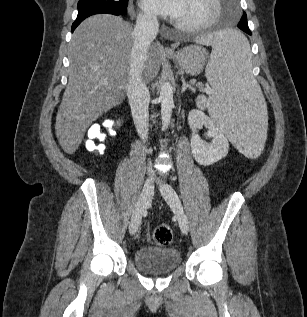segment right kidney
<instances>
[{"mask_svg":"<svg viewBox=\"0 0 307 317\" xmlns=\"http://www.w3.org/2000/svg\"><path fill=\"white\" fill-rule=\"evenodd\" d=\"M117 125H118V126H121V122H120V121H118V122H117Z\"/></svg>","mask_w":307,"mask_h":317,"instance_id":"ca27d5eb","label":"right kidney"}]
</instances>
